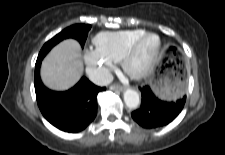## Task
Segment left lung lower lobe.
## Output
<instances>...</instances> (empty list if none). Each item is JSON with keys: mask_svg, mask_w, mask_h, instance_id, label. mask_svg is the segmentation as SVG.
Returning <instances> with one entry per match:
<instances>
[{"mask_svg": "<svg viewBox=\"0 0 225 155\" xmlns=\"http://www.w3.org/2000/svg\"><path fill=\"white\" fill-rule=\"evenodd\" d=\"M141 107L132 112V118L144 128H157L173 121L184 107L186 96L177 101L166 102L158 99L149 86L140 88Z\"/></svg>", "mask_w": 225, "mask_h": 155, "instance_id": "left-lung-lower-lobe-1", "label": "left lung lower lobe"}]
</instances>
